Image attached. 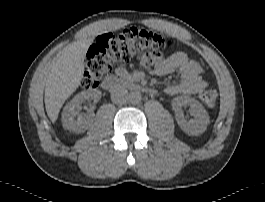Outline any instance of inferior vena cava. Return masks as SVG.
<instances>
[{"instance_id":"inferior-vena-cava-1","label":"inferior vena cava","mask_w":265,"mask_h":202,"mask_svg":"<svg viewBox=\"0 0 265 202\" xmlns=\"http://www.w3.org/2000/svg\"><path fill=\"white\" fill-rule=\"evenodd\" d=\"M128 90L122 86H117L111 92V99L115 104H125L128 101Z\"/></svg>"}]
</instances>
